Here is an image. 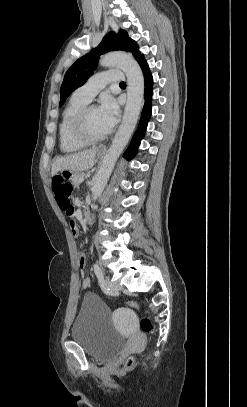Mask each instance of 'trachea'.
<instances>
[{"instance_id": "trachea-1", "label": "trachea", "mask_w": 247, "mask_h": 407, "mask_svg": "<svg viewBox=\"0 0 247 407\" xmlns=\"http://www.w3.org/2000/svg\"><path fill=\"white\" fill-rule=\"evenodd\" d=\"M120 85H126V83H125V82H121Z\"/></svg>"}]
</instances>
